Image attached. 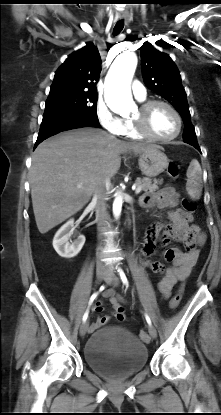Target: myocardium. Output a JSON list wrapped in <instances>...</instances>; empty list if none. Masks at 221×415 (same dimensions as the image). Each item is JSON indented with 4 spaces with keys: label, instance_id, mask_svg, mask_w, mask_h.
<instances>
[{
    "label": "myocardium",
    "instance_id": "f54148a6",
    "mask_svg": "<svg viewBox=\"0 0 221 415\" xmlns=\"http://www.w3.org/2000/svg\"><path fill=\"white\" fill-rule=\"evenodd\" d=\"M155 105L165 106L175 116L176 121H177V129L173 135L168 136V137H160V136L154 135L149 130L147 126V117H148L149 111ZM132 122L134 124L135 130L141 137L152 140V141H156V142H170L172 140H175L180 135L182 131V125H183L182 117L180 113L178 112V110L171 103L165 100H160V99H153V100H148V101L143 102L139 106V115L137 117H133Z\"/></svg>",
    "mask_w": 221,
    "mask_h": 415
}]
</instances>
